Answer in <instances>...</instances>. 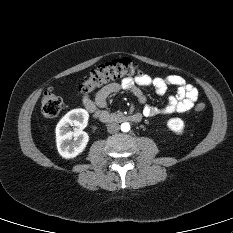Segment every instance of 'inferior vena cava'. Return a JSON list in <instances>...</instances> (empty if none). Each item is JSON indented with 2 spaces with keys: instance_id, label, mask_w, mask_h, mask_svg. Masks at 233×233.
I'll return each instance as SVG.
<instances>
[{
  "instance_id": "inferior-vena-cava-1",
  "label": "inferior vena cava",
  "mask_w": 233,
  "mask_h": 233,
  "mask_svg": "<svg viewBox=\"0 0 233 233\" xmlns=\"http://www.w3.org/2000/svg\"><path fill=\"white\" fill-rule=\"evenodd\" d=\"M119 129H120L119 124H118V123H115V122L110 123V124H108V126H107V131H108L109 133H116V132H118Z\"/></svg>"
}]
</instances>
